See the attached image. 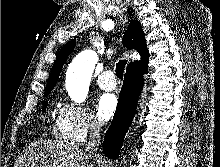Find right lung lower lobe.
<instances>
[{"mask_svg": "<svg viewBox=\"0 0 220 167\" xmlns=\"http://www.w3.org/2000/svg\"><path fill=\"white\" fill-rule=\"evenodd\" d=\"M146 72L147 63L126 70L118 106L103 144V152L109 158H118L124 137L134 117L138 97L144 84L143 74Z\"/></svg>", "mask_w": 220, "mask_h": 167, "instance_id": "right-lung-lower-lobe-1", "label": "right lung lower lobe"}]
</instances>
